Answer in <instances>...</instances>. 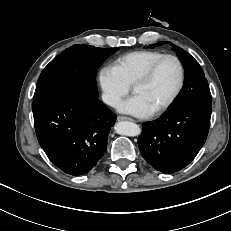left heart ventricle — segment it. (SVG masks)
Masks as SVG:
<instances>
[{
	"label": "left heart ventricle",
	"instance_id": "1",
	"mask_svg": "<svg viewBox=\"0 0 231 231\" xmlns=\"http://www.w3.org/2000/svg\"><path fill=\"white\" fill-rule=\"evenodd\" d=\"M178 81L177 63L172 59H165L158 65L150 80L138 85L133 92L140 95L155 110L170 97Z\"/></svg>",
	"mask_w": 231,
	"mask_h": 231
}]
</instances>
